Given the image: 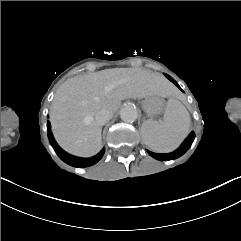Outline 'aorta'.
<instances>
[{
    "label": "aorta",
    "mask_w": 241,
    "mask_h": 241,
    "mask_svg": "<svg viewBox=\"0 0 241 241\" xmlns=\"http://www.w3.org/2000/svg\"><path fill=\"white\" fill-rule=\"evenodd\" d=\"M137 117H138L137 110L132 105L124 106L120 110V118L124 122L132 123L137 119Z\"/></svg>",
    "instance_id": "obj_1"
}]
</instances>
